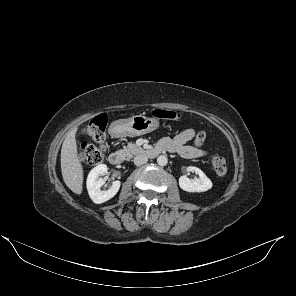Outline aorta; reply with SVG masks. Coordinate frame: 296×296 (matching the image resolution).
<instances>
[{
  "label": "aorta",
  "instance_id": "aorta-1",
  "mask_svg": "<svg viewBox=\"0 0 296 296\" xmlns=\"http://www.w3.org/2000/svg\"><path fill=\"white\" fill-rule=\"evenodd\" d=\"M157 163H158V165H160V166H165V165H167V163H168V158H167L165 155H160V156L157 158Z\"/></svg>",
  "mask_w": 296,
  "mask_h": 296
}]
</instances>
